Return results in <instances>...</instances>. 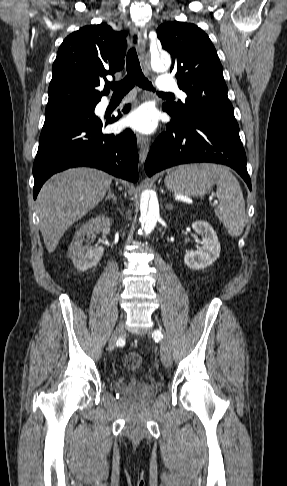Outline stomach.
Listing matches in <instances>:
<instances>
[{"label":"stomach","instance_id":"obj_1","mask_svg":"<svg viewBox=\"0 0 287 486\" xmlns=\"http://www.w3.org/2000/svg\"><path fill=\"white\" fill-rule=\"evenodd\" d=\"M217 179L218 175L205 168L204 164H187L168 174L164 183L175 194L193 197L207 193Z\"/></svg>","mask_w":287,"mask_h":486}]
</instances>
